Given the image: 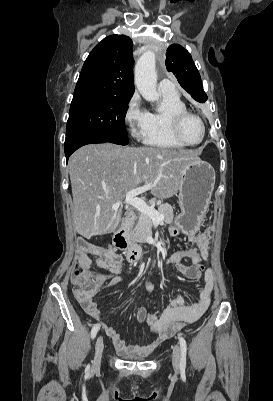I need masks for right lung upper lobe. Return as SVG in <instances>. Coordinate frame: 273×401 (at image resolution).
Returning a JSON list of instances; mask_svg holds the SVG:
<instances>
[{
  "mask_svg": "<svg viewBox=\"0 0 273 401\" xmlns=\"http://www.w3.org/2000/svg\"><path fill=\"white\" fill-rule=\"evenodd\" d=\"M132 45L125 35L104 38L87 57L74 96L131 98L134 93Z\"/></svg>",
  "mask_w": 273,
  "mask_h": 401,
  "instance_id": "obj_1",
  "label": "right lung upper lobe"
}]
</instances>
